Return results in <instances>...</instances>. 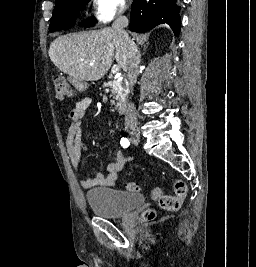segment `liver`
<instances>
[{
    "label": "liver",
    "mask_w": 256,
    "mask_h": 267,
    "mask_svg": "<svg viewBox=\"0 0 256 267\" xmlns=\"http://www.w3.org/2000/svg\"><path fill=\"white\" fill-rule=\"evenodd\" d=\"M129 44L113 28L76 32L56 38L49 48V58L60 72L75 80H101L115 58L117 66L127 72Z\"/></svg>",
    "instance_id": "liver-1"
}]
</instances>
